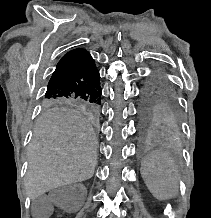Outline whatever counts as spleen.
Returning a JSON list of instances; mask_svg holds the SVG:
<instances>
[{
  "instance_id": "spleen-1",
  "label": "spleen",
  "mask_w": 211,
  "mask_h": 218,
  "mask_svg": "<svg viewBox=\"0 0 211 218\" xmlns=\"http://www.w3.org/2000/svg\"><path fill=\"white\" fill-rule=\"evenodd\" d=\"M141 176L157 200H171L178 194V170L165 152H152L141 164Z\"/></svg>"
}]
</instances>
